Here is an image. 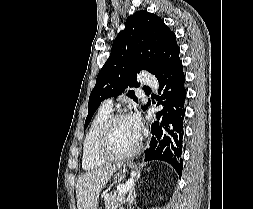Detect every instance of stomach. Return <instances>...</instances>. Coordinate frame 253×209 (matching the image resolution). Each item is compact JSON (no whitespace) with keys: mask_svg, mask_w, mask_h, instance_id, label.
<instances>
[{"mask_svg":"<svg viewBox=\"0 0 253 209\" xmlns=\"http://www.w3.org/2000/svg\"><path fill=\"white\" fill-rule=\"evenodd\" d=\"M102 186H111V181H102Z\"/></svg>","mask_w":253,"mask_h":209,"instance_id":"1","label":"stomach"}]
</instances>
